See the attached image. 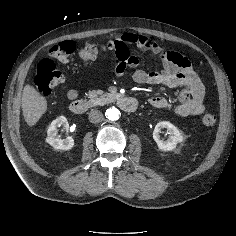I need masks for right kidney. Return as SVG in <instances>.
Masks as SVG:
<instances>
[{
  "label": "right kidney",
  "mask_w": 236,
  "mask_h": 236,
  "mask_svg": "<svg viewBox=\"0 0 236 236\" xmlns=\"http://www.w3.org/2000/svg\"><path fill=\"white\" fill-rule=\"evenodd\" d=\"M68 127V121L65 116H59L51 122L47 130L46 142L56 150H70L74 147V139L70 136L62 139L58 136L57 127Z\"/></svg>",
  "instance_id": "right-kidney-1"
}]
</instances>
